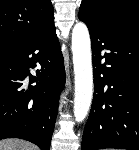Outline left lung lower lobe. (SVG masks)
<instances>
[{
    "instance_id": "1",
    "label": "left lung lower lobe",
    "mask_w": 139,
    "mask_h": 150,
    "mask_svg": "<svg viewBox=\"0 0 139 150\" xmlns=\"http://www.w3.org/2000/svg\"><path fill=\"white\" fill-rule=\"evenodd\" d=\"M79 19L90 32L94 69L82 150H139V17L110 29Z\"/></svg>"
}]
</instances>
